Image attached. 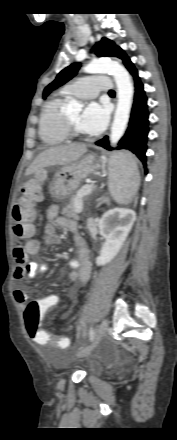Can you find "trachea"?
Masks as SVG:
<instances>
[{"mask_svg":"<svg viewBox=\"0 0 177 440\" xmlns=\"http://www.w3.org/2000/svg\"><path fill=\"white\" fill-rule=\"evenodd\" d=\"M109 94H115L114 90H110Z\"/></svg>","mask_w":177,"mask_h":440,"instance_id":"1","label":"trachea"}]
</instances>
